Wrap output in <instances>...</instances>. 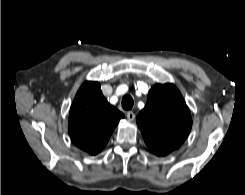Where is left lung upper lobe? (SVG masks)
<instances>
[{
	"label": "left lung upper lobe",
	"instance_id": "left-lung-upper-lobe-1",
	"mask_svg": "<svg viewBox=\"0 0 245 195\" xmlns=\"http://www.w3.org/2000/svg\"><path fill=\"white\" fill-rule=\"evenodd\" d=\"M144 141L157 156H165L187 138L192 118L181 93L173 84H157L136 118Z\"/></svg>",
	"mask_w": 245,
	"mask_h": 195
}]
</instances>
